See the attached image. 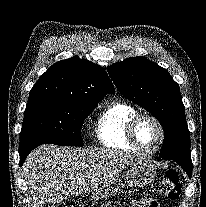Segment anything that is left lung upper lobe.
<instances>
[{
    "mask_svg": "<svg viewBox=\"0 0 206 207\" xmlns=\"http://www.w3.org/2000/svg\"><path fill=\"white\" fill-rule=\"evenodd\" d=\"M117 89L150 112L164 128L160 156L192 170L190 136L178 83L145 57H130L107 67Z\"/></svg>",
    "mask_w": 206,
    "mask_h": 207,
    "instance_id": "obj_1",
    "label": "left lung upper lobe"
}]
</instances>
